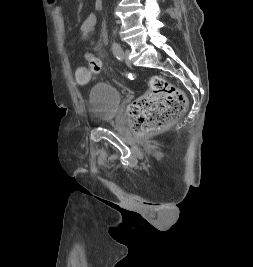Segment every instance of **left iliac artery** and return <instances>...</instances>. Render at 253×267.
Listing matches in <instances>:
<instances>
[{
  "label": "left iliac artery",
  "mask_w": 253,
  "mask_h": 267,
  "mask_svg": "<svg viewBox=\"0 0 253 267\" xmlns=\"http://www.w3.org/2000/svg\"><path fill=\"white\" fill-rule=\"evenodd\" d=\"M112 50H113V54L118 60L122 59L121 52L123 50L118 42L112 41Z\"/></svg>",
  "instance_id": "1"
}]
</instances>
